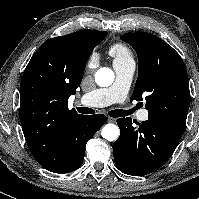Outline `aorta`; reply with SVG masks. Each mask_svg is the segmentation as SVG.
I'll use <instances>...</instances> for the list:
<instances>
[{
  "instance_id": "1",
  "label": "aorta",
  "mask_w": 199,
  "mask_h": 199,
  "mask_svg": "<svg viewBox=\"0 0 199 199\" xmlns=\"http://www.w3.org/2000/svg\"><path fill=\"white\" fill-rule=\"evenodd\" d=\"M95 81L101 87H108L114 81V72L107 67L100 68L95 74ZM101 135L107 141H115L119 136V128L115 124H106Z\"/></svg>"
}]
</instances>
